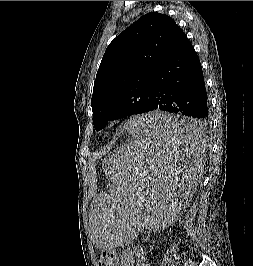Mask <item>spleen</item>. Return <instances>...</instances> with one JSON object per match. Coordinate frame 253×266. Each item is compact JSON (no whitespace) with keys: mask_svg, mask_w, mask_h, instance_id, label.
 I'll use <instances>...</instances> for the list:
<instances>
[{"mask_svg":"<svg viewBox=\"0 0 253 266\" xmlns=\"http://www.w3.org/2000/svg\"><path fill=\"white\" fill-rule=\"evenodd\" d=\"M116 153H110V207H92L93 246L136 248L143 229H168L173 215L191 204L202 175L205 123L178 111L128 117ZM143 210V212H141Z\"/></svg>","mask_w":253,"mask_h":266,"instance_id":"spleen-1","label":"spleen"}]
</instances>
